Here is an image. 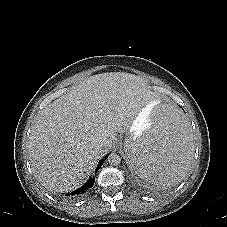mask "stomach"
I'll list each match as a JSON object with an SVG mask.
<instances>
[{"mask_svg":"<svg viewBox=\"0 0 227 227\" xmlns=\"http://www.w3.org/2000/svg\"><path fill=\"white\" fill-rule=\"evenodd\" d=\"M154 111L155 109L152 103H148L145 106H143L139 113L136 115V118L132 122L131 126L126 131V135L130 131L137 130L140 127H142L143 124L146 123V121L148 120V118H150Z\"/></svg>","mask_w":227,"mask_h":227,"instance_id":"obj_1","label":"stomach"}]
</instances>
